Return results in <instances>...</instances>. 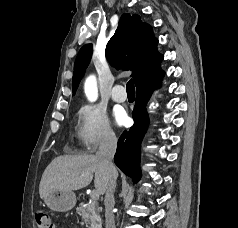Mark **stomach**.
<instances>
[{
    "label": "stomach",
    "mask_w": 238,
    "mask_h": 228,
    "mask_svg": "<svg viewBox=\"0 0 238 228\" xmlns=\"http://www.w3.org/2000/svg\"><path fill=\"white\" fill-rule=\"evenodd\" d=\"M45 204L53 211L66 212L76 204V195L73 191L50 190L44 196Z\"/></svg>",
    "instance_id": "0dacf381"
}]
</instances>
